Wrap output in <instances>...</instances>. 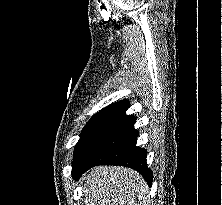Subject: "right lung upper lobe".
Returning a JSON list of instances; mask_svg holds the SVG:
<instances>
[{
    "mask_svg": "<svg viewBox=\"0 0 222 205\" xmlns=\"http://www.w3.org/2000/svg\"><path fill=\"white\" fill-rule=\"evenodd\" d=\"M123 102H124V100H123V101L116 102V103H114V104H112V105L104 108V109L101 110L100 112L108 113V112L114 110V109H115L116 107H118L119 105H121Z\"/></svg>",
    "mask_w": 222,
    "mask_h": 205,
    "instance_id": "cb5924a9",
    "label": "right lung upper lobe"
}]
</instances>
